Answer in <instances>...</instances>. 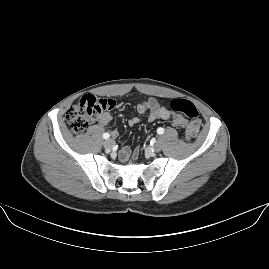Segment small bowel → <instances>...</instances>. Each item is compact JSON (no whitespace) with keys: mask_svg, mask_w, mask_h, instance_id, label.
Wrapping results in <instances>:
<instances>
[{"mask_svg":"<svg viewBox=\"0 0 269 269\" xmlns=\"http://www.w3.org/2000/svg\"><path fill=\"white\" fill-rule=\"evenodd\" d=\"M137 110L140 114H147L149 121H155L158 119L170 121L175 127H184L186 125V120L180 115L172 114L165 106L161 105L155 98H149L141 102ZM113 120V116L109 111H105L99 118L98 123L101 126H108ZM140 122V119L137 116H133L128 120L130 126L137 125ZM113 134H116V131H113ZM137 152L142 150L140 145L135 147ZM131 150L129 147L125 146L120 150V160L121 162H126L130 157ZM138 156L133 154L130 157V162L125 164L127 169L133 168L137 164Z\"/></svg>","mask_w":269,"mask_h":269,"instance_id":"obj_1","label":"small bowel"}]
</instances>
